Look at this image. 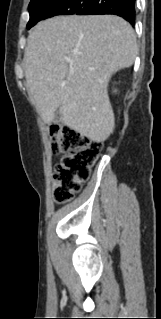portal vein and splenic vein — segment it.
Listing matches in <instances>:
<instances>
[{
    "label": "portal vein and splenic vein",
    "instance_id": "portal-vein-and-splenic-vein-1",
    "mask_svg": "<svg viewBox=\"0 0 161 319\" xmlns=\"http://www.w3.org/2000/svg\"><path fill=\"white\" fill-rule=\"evenodd\" d=\"M67 61L72 63V60H70V59H67Z\"/></svg>",
    "mask_w": 161,
    "mask_h": 319
}]
</instances>
